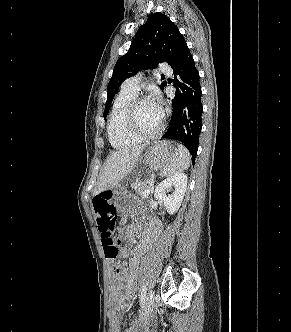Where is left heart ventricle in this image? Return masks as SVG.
<instances>
[{
	"mask_svg": "<svg viewBox=\"0 0 291 332\" xmlns=\"http://www.w3.org/2000/svg\"><path fill=\"white\" fill-rule=\"evenodd\" d=\"M161 123L160 107L152 100L140 104L137 110V126L145 133L155 131Z\"/></svg>",
	"mask_w": 291,
	"mask_h": 332,
	"instance_id": "b2bd125f",
	"label": "left heart ventricle"
}]
</instances>
